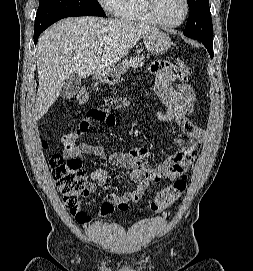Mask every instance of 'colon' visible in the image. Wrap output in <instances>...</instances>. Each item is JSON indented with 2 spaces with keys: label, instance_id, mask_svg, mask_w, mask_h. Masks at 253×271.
<instances>
[{
  "label": "colon",
  "instance_id": "colon-1",
  "mask_svg": "<svg viewBox=\"0 0 253 271\" xmlns=\"http://www.w3.org/2000/svg\"><path fill=\"white\" fill-rule=\"evenodd\" d=\"M179 68L189 73L190 69L183 61H178ZM75 100L80 104H85L89 100V93L81 87L75 95ZM108 106H120L122 101L120 99H108L106 101ZM89 115L97 120H103L107 116V111L94 109L89 112ZM43 145L47 143L43 141ZM49 164L52 170L53 178L56 182L58 191L60 192L64 205L75 217L77 222L86 224L90 221L88 216L80 207L81 200L90 193V185L85 178V170L82 167L81 161L78 158H65L59 153H53L50 157ZM186 189V178H180L173 183L161 189L155 196L151 203V210L154 213H162L174 201L178 200ZM109 207L108 204L104 205ZM116 207L121 211L128 209V202L121 200L117 202L113 208Z\"/></svg>",
  "mask_w": 253,
  "mask_h": 271
}]
</instances>
